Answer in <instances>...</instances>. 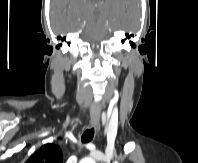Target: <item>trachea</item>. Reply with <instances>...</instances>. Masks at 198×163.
Wrapping results in <instances>:
<instances>
[{
  "label": "trachea",
  "instance_id": "obj_1",
  "mask_svg": "<svg viewBox=\"0 0 198 163\" xmlns=\"http://www.w3.org/2000/svg\"><path fill=\"white\" fill-rule=\"evenodd\" d=\"M94 137V128L88 129L86 130L81 137V141L82 143H88L90 141H92Z\"/></svg>",
  "mask_w": 198,
  "mask_h": 163
}]
</instances>
